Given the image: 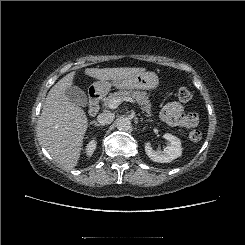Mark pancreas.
Instances as JSON below:
<instances>
[{
	"label": "pancreas",
	"mask_w": 245,
	"mask_h": 245,
	"mask_svg": "<svg viewBox=\"0 0 245 245\" xmlns=\"http://www.w3.org/2000/svg\"><path fill=\"white\" fill-rule=\"evenodd\" d=\"M124 97H132L135 101L141 106L142 111L146 114L147 117H151L153 114L152 111V104L149 100V96L146 92L143 91H118L115 93L109 94L108 97L104 99V105L108 106L110 100L114 98H124Z\"/></svg>",
	"instance_id": "obj_1"
}]
</instances>
